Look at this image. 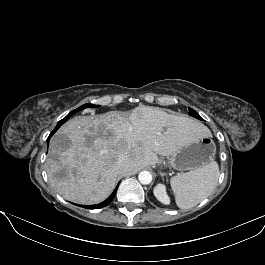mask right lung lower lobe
<instances>
[{
  "instance_id": "98d812e1",
  "label": "right lung lower lobe",
  "mask_w": 265,
  "mask_h": 265,
  "mask_svg": "<svg viewBox=\"0 0 265 265\" xmlns=\"http://www.w3.org/2000/svg\"><path fill=\"white\" fill-rule=\"evenodd\" d=\"M61 125H57L55 127V129L51 132V134L49 135V137L47 139V143L48 144H49V140H50L51 136L59 129V127ZM117 188H118V185L115 188V190L113 191V193L104 202H102L100 204H96V205H79V206H82L83 208H87V209H98V208L105 207V206H107L113 200V198H114V196L116 194Z\"/></svg>"
}]
</instances>
